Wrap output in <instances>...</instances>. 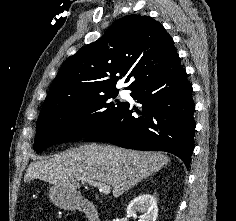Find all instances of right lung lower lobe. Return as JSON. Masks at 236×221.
<instances>
[{"mask_svg": "<svg viewBox=\"0 0 236 221\" xmlns=\"http://www.w3.org/2000/svg\"><path fill=\"white\" fill-rule=\"evenodd\" d=\"M132 97L142 104L139 117L127 103L100 130L84 142H111L136 150L166 151L188 168L194 148L195 105L192 86L179 64L178 54L162 69L138 81Z\"/></svg>", "mask_w": 236, "mask_h": 221, "instance_id": "1", "label": "right lung lower lobe"}]
</instances>
